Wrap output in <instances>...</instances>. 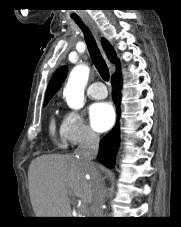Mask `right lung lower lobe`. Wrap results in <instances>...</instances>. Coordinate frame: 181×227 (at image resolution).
<instances>
[{
    "label": "right lung lower lobe",
    "instance_id": "obj_1",
    "mask_svg": "<svg viewBox=\"0 0 181 227\" xmlns=\"http://www.w3.org/2000/svg\"><path fill=\"white\" fill-rule=\"evenodd\" d=\"M121 78L120 73L117 70L112 75V85L114 86V90L112 93L113 100L116 104V111L118 113V117L120 116V85ZM119 146V123H117L113 129L105 135L99 145V153H98V160L106 165L107 167H113L115 162V154L118 150Z\"/></svg>",
    "mask_w": 181,
    "mask_h": 227
}]
</instances>
